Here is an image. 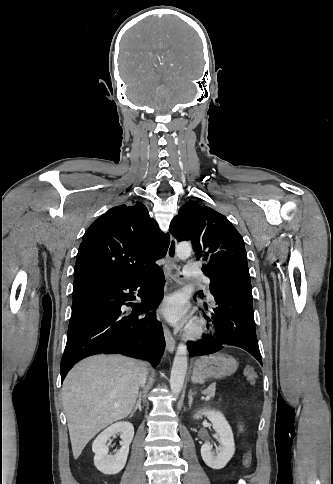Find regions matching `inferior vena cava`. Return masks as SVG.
I'll return each instance as SVG.
<instances>
[{
	"label": "inferior vena cava",
	"mask_w": 333,
	"mask_h": 484,
	"mask_svg": "<svg viewBox=\"0 0 333 484\" xmlns=\"http://www.w3.org/2000/svg\"><path fill=\"white\" fill-rule=\"evenodd\" d=\"M146 377H147V369L146 368H143L142 372H141V376H140V381H141V384L144 385L145 382H146Z\"/></svg>",
	"instance_id": "inferior-vena-cava-1"
}]
</instances>
